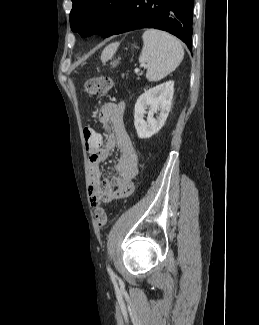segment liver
<instances>
[{"instance_id": "liver-1", "label": "liver", "mask_w": 259, "mask_h": 325, "mask_svg": "<svg viewBox=\"0 0 259 325\" xmlns=\"http://www.w3.org/2000/svg\"><path fill=\"white\" fill-rule=\"evenodd\" d=\"M116 47H117V46H116L115 43L108 45V46L103 50V52H102V54H101V61H102V62L107 61V60H108V59L113 55V53L115 52Z\"/></svg>"}]
</instances>
